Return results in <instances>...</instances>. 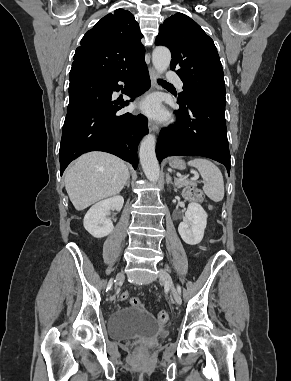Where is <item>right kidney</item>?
I'll use <instances>...</instances> for the list:
<instances>
[{
    "label": "right kidney",
    "instance_id": "obj_1",
    "mask_svg": "<svg viewBox=\"0 0 291 381\" xmlns=\"http://www.w3.org/2000/svg\"><path fill=\"white\" fill-rule=\"evenodd\" d=\"M122 196H114L102 200L93 205L84 217V228L95 238L109 235L113 229L111 218L108 217L110 210L120 211L123 207Z\"/></svg>",
    "mask_w": 291,
    "mask_h": 381
}]
</instances>
